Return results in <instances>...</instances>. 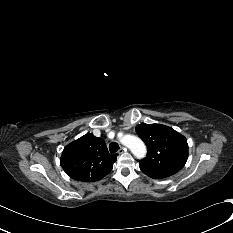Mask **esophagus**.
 Listing matches in <instances>:
<instances>
[{
  "label": "esophagus",
  "mask_w": 233,
  "mask_h": 233,
  "mask_svg": "<svg viewBox=\"0 0 233 233\" xmlns=\"http://www.w3.org/2000/svg\"><path fill=\"white\" fill-rule=\"evenodd\" d=\"M127 149L125 147H121L119 150H118V154H123L124 152H126Z\"/></svg>",
  "instance_id": "obj_1"
}]
</instances>
